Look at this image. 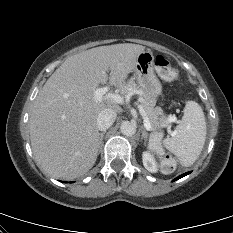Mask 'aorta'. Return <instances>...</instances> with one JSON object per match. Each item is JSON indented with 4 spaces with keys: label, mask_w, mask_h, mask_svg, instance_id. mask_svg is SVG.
<instances>
[{
    "label": "aorta",
    "mask_w": 233,
    "mask_h": 233,
    "mask_svg": "<svg viewBox=\"0 0 233 233\" xmlns=\"http://www.w3.org/2000/svg\"><path fill=\"white\" fill-rule=\"evenodd\" d=\"M120 130L123 135L132 136L136 133V125L130 121H123Z\"/></svg>",
    "instance_id": "aorta-1"
}]
</instances>
